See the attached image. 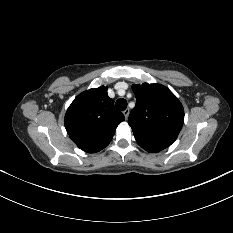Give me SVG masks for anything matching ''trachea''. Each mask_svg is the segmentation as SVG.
Here are the masks:
<instances>
[{
	"instance_id": "trachea-1",
	"label": "trachea",
	"mask_w": 233,
	"mask_h": 233,
	"mask_svg": "<svg viewBox=\"0 0 233 233\" xmlns=\"http://www.w3.org/2000/svg\"><path fill=\"white\" fill-rule=\"evenodd\" d=\"M116 107H117L118 110L124 111L126 109V107H127V101L125 99H123V98L118 99L116 101Z\"/></svg>"
}]
</instances>
